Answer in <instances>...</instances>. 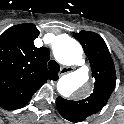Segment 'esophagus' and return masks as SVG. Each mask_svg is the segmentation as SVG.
<instances>
[{"label": "esophagus", "instance_id": "1", "mask_svg": "<svg viewBox=\"0 0 124 124\" xmlns=\"http://www.w3.org/2000/svg\"><path fill=\"white\" fill-rule=\"evenodd\" d=\"M73 69L74 68H72V67H65L64 66V67L61 68V70L59 72V76H62V75L67 74V73H70V72L73 71Z\"/></svg>", "mask_w": 124, "mask_h": 124}]
</instances>
